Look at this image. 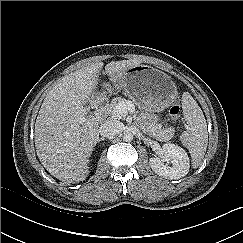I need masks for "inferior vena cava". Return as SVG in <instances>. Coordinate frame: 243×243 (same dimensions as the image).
Wrapping results in <instances>:
<instances>
[{"mask_svg": "<svg viewBox=\"0 0 243 243\" xmlns=\"http://www.w3.org/2000/svg\"><path fill=\"white\" fill-rule=\"evenodd\" d=\"M122 132V123L117 120H111L103 123L99 128L102 138H110Z\"/></svg>", "mask_w": 243, "mask_h": 243, "instance_id": "obj_1", "label": "inferior vena cava"}]
</instances>
